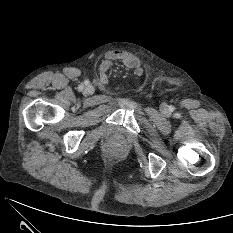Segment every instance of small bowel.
I'll list each match as a JSON object with an SVG mask.
<instances>
[{
	"label": "small bowel",
	"instance_id": "obj_1",
	"mask_svg": "<svg viewBox=\"0 0 233 233\" xmlns=\"http://www.w3.org/2000/svg\"><path fill=\"white\" fill-rule=\"evenodd\" d=\"M115 61H120L126 67L134 70L136 77H140L142 75L143 70L139 60L132 53L125 50H114L109 52L99 66L100 71H108Z\"/></svg>",
	"mask_w": 233,
	"mask_h": 233
}]
</instances>
